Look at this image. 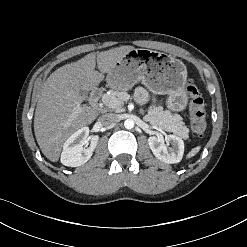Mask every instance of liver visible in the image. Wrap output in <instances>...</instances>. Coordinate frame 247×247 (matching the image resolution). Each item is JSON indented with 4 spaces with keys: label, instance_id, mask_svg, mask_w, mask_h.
I'll return each mask as SVG.
<instances>
[{
    "label": "liver",
    "instance_id": "6515ba94",
    "mask_svg": "<svg viewBox=\"0 0 247 247\" xmlns=\"http://www.w3.org/2000/svg\"><path fill=\"white\" fill-rule=\"evenodd\" d=\"M133 46H120L89 53L80 60L54 71L44 82L34 117L37 143L47 159L59 160L63 143L78 129L91 124L98 115L95 108L82 105L81 90L95 89L116 62ZM100 72L95 70V67Z\"/></svg>",
    "mask_w": 247,
    "mask_h": 247
}]
</instances>
